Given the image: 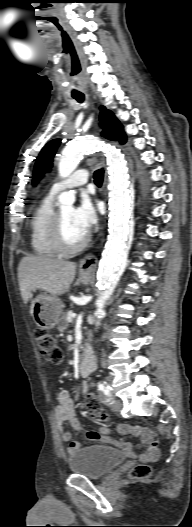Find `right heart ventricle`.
<instances>
[{"mask_svg": "<svg viewBox=\"0 0 192 527\" xmlns=\"http://www.w3.org/2000/svg\"><path fill=\"white\" fill-rule=\"evenodd\" d=\"M52 202L51 195L44 198L30 219L31 247L33 252L41 257H53L59 254L52 236L56 213Z\"/></svg>", "mask_w": 192, "mask_h": 527, "instance_id": "right-heart-ventricle-1", "label": "right heart ventricle"}]
</instances>
